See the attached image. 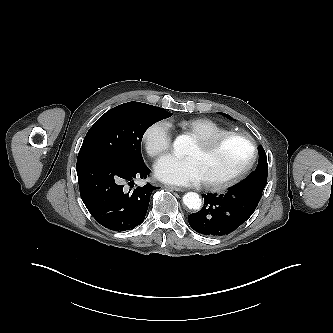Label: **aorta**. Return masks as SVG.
Returning <instances> with one entry per match:
<instances>
[{
	"instance_id": "762f6f07",
	"label": "aorta",
	"mask_w": 333,
	"mask_h": 333,
	"mask_svg": "<svg viewBox=\"0 0 333 333\" xmlns=\"http://www.w3.org/2000/svg\"><path fill=\"white\" fill-rule=\"evenodd\" d=\"M189 142V137L187 135L177 136L173 142L175 155L178 157L185 155ZM183 203L189 209L198 210L201 207L202 201L197 193L188 192L183 196Z\"/></svg>"
}]
</instances>
